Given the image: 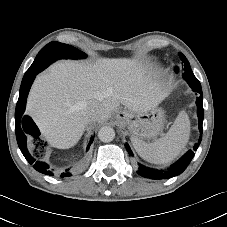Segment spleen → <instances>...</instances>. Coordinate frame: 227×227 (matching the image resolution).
<instances>
[{
	"instance_id": "3e777b00",
	"label": "spleen",
	"mask_w": 227,
	"mask_h": 227,
	"mask_svg": "<svg viewBox=\"0 0 227 227\" xmlns=\"http://www.w3.org/2000/svg\"><path fill=\"white\" fill-rule=\"evenodd\" d=\"M190 136V120L180 111L169 131L154 142L132 138V144L141 158L154 164H166L175 159L185 148Z\"/></svg>"
}]
</instances>
